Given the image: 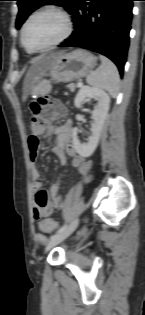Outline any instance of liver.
Segmentation results:
<instances>
[{
  "instance_id": "obj_1",
  "label": "liver",
  "mask_w": 145,
  "mask_h": 315,
  "mask_svg": "<svg viewBox=\"0 0 145 315\" xmlns=\"http://www.w3.org/2000/svg\"><path fill=\"white\" fill-rule=\"evenodd\" d=\"M62 53H54L46 56L38 57L34 60L33 65L29 69L23 84V99L33 91L38 81L45 75L49 67Z\"/></svg>"
}]
</instances>
